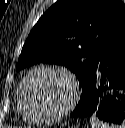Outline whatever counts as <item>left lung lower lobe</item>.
Segmentation results:
<instances>
[{"label":"left lung lower lobe","instance_id":"obj_1","mask_svg":"<svg viewBox=\"0 0 125 128\" xmlns=\"http://www.w3.org/2000/svg\"><path fill=\"white\" fill-rule=\"evenodd\" d=\"M71 117H98L125 126V28L104 51L82 87Z\"/></svg>","mask_w":125,"mask_h":128}]
</instances>
